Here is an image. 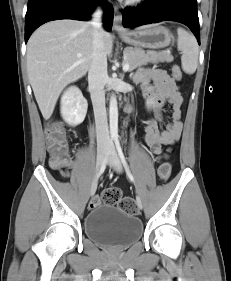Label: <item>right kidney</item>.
<instances>
[{
	"label": "right kidney",
	"instance_id": "right-kidney-1",
	"mask_svg": "<svg viewBox=\"0 0 231 281\" xmlns=\"http://www.w3.org/2000/svg\"><path fill=\"white\" fill-rule=\"evenodd\" d=\"M87 108V100L77 87H69L62 95L61 115L69 125L81 124L85 119Z\"/></svg>",
	"mask_w": 231,
	"mask_h": 281
}]
</instances>
